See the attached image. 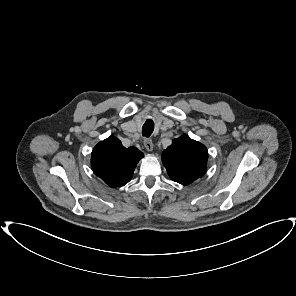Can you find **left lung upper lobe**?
Listing matches in <instances>:
<instances>
[{"label":"left lung upper lobe","mask_w":296,"mask_h":296,"mask_svg":"<svg viewBox=\"0 0 296 296\" xmlns=\"http://www.w3.org/2000/svg\"><path fill=\"white\" fill-rule=\"evenodd\" d=\"M207 148L183 134L162 153V162L171 180L188 185L206 171Z\"/></svg>","instance_id":"obj_1"}]
</instances>
